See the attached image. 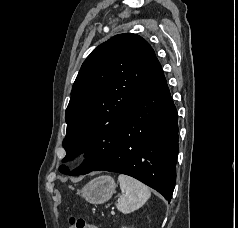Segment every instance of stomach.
I'll list each match as a JSON object with an SVG mask.
<instances>
[{
	"mask_svg": "<svg viewBox=\"0 0 238 228\" xmlns=\"http://www.w3.org/2000/svg\"><path fill=\"white\" fill-rule=\"evenodd\" d=\"M116 183L110 176H100L87 183L78 191L86 201L92 204H102L115 193Z\"/></svg>",
	"mask_w": 238,
	"mask_h": 228,
	"instance_id": "1",
	"label": "stomach"
}]
</instances>
